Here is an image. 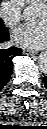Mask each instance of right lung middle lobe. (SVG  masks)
<instances>
[{
  "label": "right lung middle lobe",
  "instance_id": "dd1d6c3e",
  "mask_svg": "<svg viewBox=\"0 0 47 129\" xmlns=\"http://www.w3.org/2000/svg\"><path fill=\"white\" fill-rule=\"evenodd\" d=\"M0 26H4L3 22L0 20Z\"/></svg>",
  "mask_w": 47,
  "mask_h": 129
}]
</instances>
